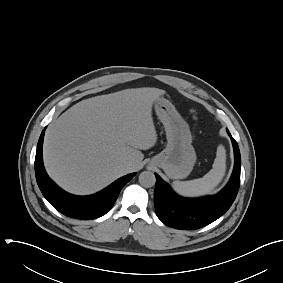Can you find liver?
<instances>
[{"instance_id":"6515ba94","label":"liver","mask_w":283,"mask_h":283,"mask_svg":"<svg viewBox=\"0 0 283 283\" xmlns=\"http://www.w3.org/2000/svg\"><path fill=\"white\" fill-rule=\"evenodd\" d=\"M164 94L132 88L73 105L46 130L43 160L49 176L70 193L88 195L138 169L140 150L157 141L152 107ZM125 162L127 170L121 167Z\"/></svg>"}]
</instances>
